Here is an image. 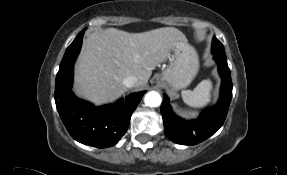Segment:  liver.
Segmentation results:
<instances>
[{
    "label": "liver",
    "mask_w": 287,
    "mask_h": 175,
    "mask_svg": "<svg viewBox=\"0 0 287 175\" xmlns=\"http://www.w3.org/2000/svg\"><path fill=\"white\" fill-rule=\"evenodd\" d=\"M185 35L174 27L143 33L108 28L90 34L75 67L77 95L95 104L110 102L126 91L125 77L134 75L143 88L155 67L170 58V51Z\"/></svg>",
    "instance_id": "liver-1"
}]
</instances>
